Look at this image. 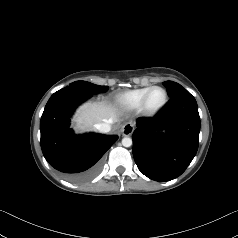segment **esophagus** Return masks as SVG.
<instances>
[{"instance_id": "34e87169", "label": "esophagus", "mask_w": 238, "mask_h": 238, "mask_svg": "<svg viewBox=\"0 0 238 238\" xmlns=\"http://www.w3.org/2000/svg\"><path fill=\"white\" fill-rule=\"evenodd\" d=\"M133 131L134 125L132 123H126L121 129L123 136H129L133 133Z\"/></svg>"}]
</instances>
